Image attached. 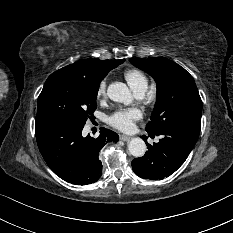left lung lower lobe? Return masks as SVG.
Listing matches in <instances>:
<instances>
[{
  "label": "left lung lower lobe",
  "mask_w": 233,
  "mask_h": 233,
  "mask_svg": "<svg viewBox=\"0 0 233 233\" xmlns=\"http://www.w3.org/2000/svg\"><path fill=\"white\" fill-rule=\"evenodd\" d=\"M201 115L186 117L158 133L163 138L148 145V151L132 161L133 171L144 179H164L174 173L186 160L197 142ZM154 134V133H150ZM142 138L147 140L145 136Z\"/></svg>",
  "instance_id": "1"
}]
</instances>
